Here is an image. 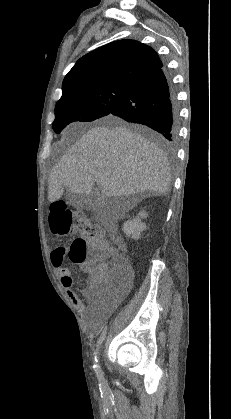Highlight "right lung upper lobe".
<instances>
[{
    "instance_id": "1",
    "label": "right lung upper lobe",
    "mask_w": 231,
    "mask_h": 419,
    "mask_svg": "<svg viewBox=\"0 0 231 419\" xmlns=\"http://www.w3.org/2000/svg\"><path fill=\"white\" fill-rule=\"evenodd\" d=\"M158 54L146 44L120 40L91 51L72 67L62 84V97L83 89L108 85H133L162 66Z\"/></svg>"
}]
</instances>
